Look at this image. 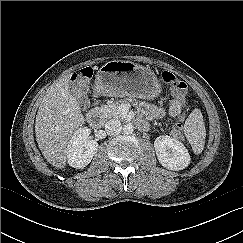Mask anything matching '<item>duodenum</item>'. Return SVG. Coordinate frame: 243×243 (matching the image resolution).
<instances>
[{"mask_svg": "<svg viewBox=\"0 0 243 243\" xmlns=\"http://www.w3.org/2000/svg\"><path fill=\"white\" fill-rule=\"evenodd\" d=\"M87 123L92 127H99L102 124V116L97 109H91L87 113ZM137 125L140 129L146 130L147 124L143 120H136Z\"/></svg>", "mask_w": 243, "mask_h": 243, "instance_id": "obj_1", "label": "duodenum"}]
</instances>
